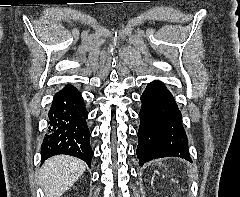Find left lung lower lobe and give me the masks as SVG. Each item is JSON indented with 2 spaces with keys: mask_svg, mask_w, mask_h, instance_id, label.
Instances as JSON below:
<instances>
[{
  "mask_svg": "<svg viewBox=\"0 0 240 197\" xmlns=\"http://www.w3.org/2000/svg\"><path fill=\"white\" fill-rule=\"evenodd\" d=\"M141 101L137 148L140 166L153 159L171 156L192 162L181 113L164 84L160 81L148 84Z\"/></svg>",
  "mask_w": 240,
  "mask_h": 197,
  "instance_id": "left-lung-lower-lobe-1",
  "label": "left lung lower lobe"
}]
</instances>
